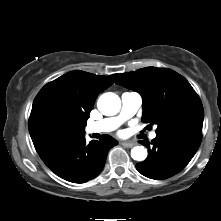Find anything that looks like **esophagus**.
<instances>
[{
    "label": "esophagus",
    "mask_w": 221,
    "mask_h": 221,
    "mask_svg": "<svg viewBox=\"0 0 221 221\" xmlns=\"http://www.w3.org/2000/svg\"><path fill=\"white\" fill-rule=\"evenodd\" d=\"M121 144H122L123 147H126V148H131L135 145L132 142H122Z\"/></svg>",
    "instance_id": "obj_1"
}]
</instances>
